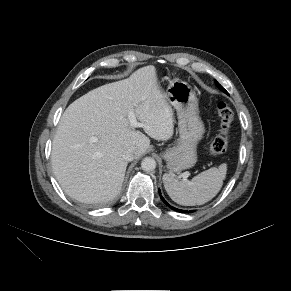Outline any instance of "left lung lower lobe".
<instances>
[{
	"mask_svg": "<svg viewBox=\"0 0 291 291\" xmlns=\"http://www.w3.org/2000/svg\"><path fill=\"white\" fill-rule=\"evenodd\" d=\"M159 194H160V197H161L162 201H163L167 206H169L171 209H173V210H175V211H177V212H181V213H188L187 210H181V209H177V208H175V207H173V206H170V205L165 201V199L161 196V192H160V190H159Z\"/></svg>",
	"mask_w": 291,
	"mask_h": 291,
	"instance_id": "obj_1",
	"label": "left lung lower lobe"
}]
</instances>
